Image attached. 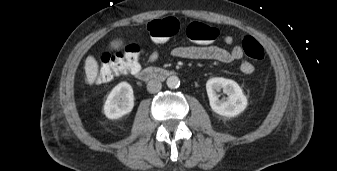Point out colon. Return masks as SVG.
Segmentation results:
<instances>
[{"label": "colon", "mask_w": 337, "mask_h": 171, "mask_svg": "<svg viewBox=\"0 0 337 171\" xmlns=\"http://www.w3.org/2000/svg\"><path fill=\"white\" fill-rule=\"evenodd\" d=\"M179 21L174 17L153 20L148 24L149 39L155 45L167 44L179 32ZM188 38L200 44H210L218 37L216 27L201 22H191L186 30ZM245 54L255 60L265 57L263 46L254 37L247 35L242 40ZM140 67V48L129 45L122 51L105 53L100 58V67L94 76L96 84L110 82L118 77L133 74Z\"/></svg>", "instance_id": "1"}]
</instances>
